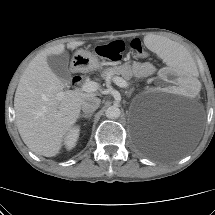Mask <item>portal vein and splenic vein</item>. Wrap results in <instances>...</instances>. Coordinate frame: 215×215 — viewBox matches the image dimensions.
I'll return each mask as SVG.
<instances>
[{"label":"portal vein and splenic vein","instance_id":"obj_1","mask_svg":"<svg viewBox=\"0 0 215 215\" xmlns=\"http://www.w3.org/2000/svg\"><path fill=\"white\" fill-rule=\"evenodd\" d=\"M113 81L119 87L125 88L128 86V82L121 77H114ZM98 86L99 85L97 82L88 81L82 84V90L85 92H95L98 90ZM61 96H62V93H59L58 97L60 98Z\"/></svg>","mask_w":215,"mask_h":215}]
</instances>
